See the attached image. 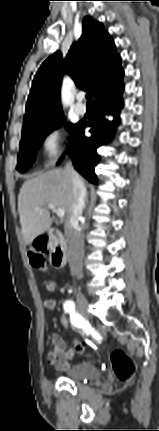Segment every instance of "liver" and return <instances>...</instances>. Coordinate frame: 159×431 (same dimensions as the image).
<instances>
[{
    "label": "liver",
    "instance_id": "liver-1",
    "mask_svg": "<svg viewBox=\"0 0 159 431\" xmlns=\"http://www.w3.org/2000/svg\"><path fill=\"white\" fill-rule=\"evenodd\" d=\"M62 208L66 221L71 215L73 184L70 173L54 169L27 180L18 196V211L25 244L43 234L51 226L48 204Z\"/></svg>",
    "mask_w": 159,
    "mask_h": 431
}]
</instances>
